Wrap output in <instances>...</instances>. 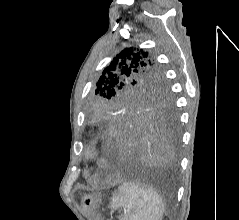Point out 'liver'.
Wrapping results in <instances>:
<instances>
[{"label": "liver", "mask_w": 239, "mask_h": 220, "mask_svg": "<svg viewBox=\"0 0 239 220\" xmlns=\"http://www.w3.org/2000/svg\"><path fill=\"white\" fill-rule=\"evenodd\" d=\"M118 179H119V176H117L116 179H114V182L110 184H115V182H117Z\"/></svg>", "instance_id": "obj_1"}]
</instances>
